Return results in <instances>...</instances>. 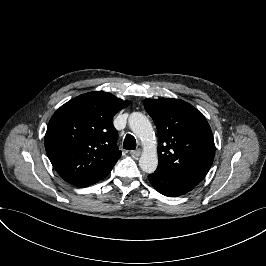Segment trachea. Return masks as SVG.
<instances>
[{
  "mask_svg": "<svg viewBox=\"0 0 266 266\" xmlns=\"http://www.w3.org/2000/svg\"><path fill=\"white\" fill-rule=\"evenodd\" d=\"M123 148L126 150H134L136 149V140L134 136L128 134L126 135L123 143Z\"/></svg>",
  "mask_w": 266,
  "mask_h": 266,
  "instance_id": "1",
  "label": "trachea"
}]
</instances>
